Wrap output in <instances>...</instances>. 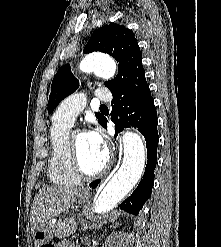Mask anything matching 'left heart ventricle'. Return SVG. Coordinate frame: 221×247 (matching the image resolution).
<instances>
[{
	"label": "left heart ventricle",
	"instance_id": "obj_1",
	"mask_svg": "<svg viewBox=\"0 0 221 247\" xmlns=\"http://www.w3.org/2000/svg\"><path fill=\"white\" fill-rule=\"evenodd\" d=\"M76 144L81 164L86 172L93 173L103 165L106 150L94 146L86 133L76 134Z\"/></svg>",
	"mask_w": 221,
	"mask_h": 247
}]
</instances>
